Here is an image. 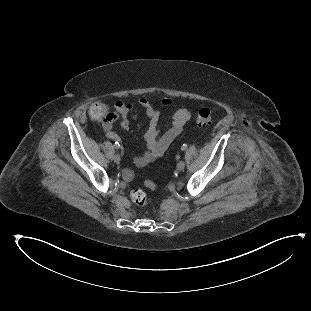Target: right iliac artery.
<instances>
[{
  "label": "right iliac artery",
  "mask_w": 311,
  "mask_h": 311,
  "mask_svg": "<svg viewBox=\"0 0 311 311\" xmlns=\"http://www.w3.org/2000/svg\"><path fill=\"white\" fill-rule=\"evenodd\" d=\"M114 148H115V149L120 148V143H119L118 141L114 143Z\"/></svg>",
  "instance_id": "obj_1"
}]
</instances>
